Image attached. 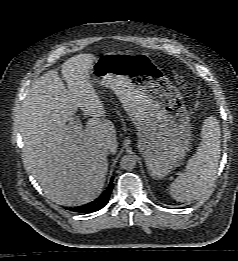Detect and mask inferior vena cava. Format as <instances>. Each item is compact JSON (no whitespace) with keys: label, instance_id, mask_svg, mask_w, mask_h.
Listing matches in <instances>:
<instances>
[{"label":"inferior vena cava","instance_id":"1","mask_svg":"<svg viewBox=\"0 0 238 261\" xmlns=\"http://www.w3.org/2000/svg\"><path fill=\"white\" fill-rule=\"evenodd\" d=\"M109 149H110V146H109L108 144H104V145H103V150H104L105 152H108Z\"/></svg>","mask_w":238,"mask_h":261}]
</instances>
